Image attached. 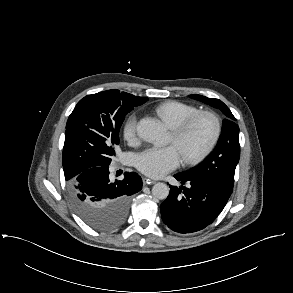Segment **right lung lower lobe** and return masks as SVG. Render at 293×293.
Wrapping results in <instances>:
<instances>
[{
  "instance_id": "1",
  "label": "right lung lower lobe",
  "mask_w": 293,
  "mask_h": 293,
  "mask_svg": "<svg viewBox=\"0 0 293 293\" xmlns=\"http://www.w3.org/2000/svg\"><path fill=\"white\" fill-rule=\"evenodd\" d=\"M109 174V166L88 168L78 174L72 190L84 203L83 208L87 212L99 215L118 214L124 218V222L130 196L141 190L142 180L135 172H125L123 180L115 181Z\"/></svg>"
}]
</instances>
